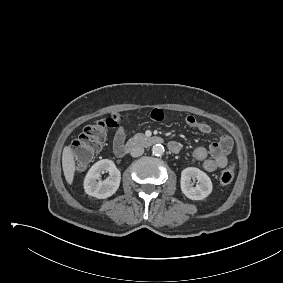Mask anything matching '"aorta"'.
<instances>
[{"label":"aorta","mask_w":283,"mask_h":283,"mask_svg":"<svg viewBox=\"0 0 283 283\" xmlns=\"http://www.w3.org/2000/svg\"><path fill=\"white\" fill-rule=\"evenodd\" d=\"M152 152L154 155L156 156H162L163 153H164V147L163 145L161 144H155L153 147H152Z\"/></svg>","instance_id":"obj_1"}]
</instances>
